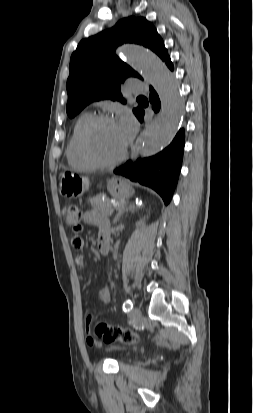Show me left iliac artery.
<instances>
[{
  "label": "left iliac artery",
  "instance_id": "obj_1",
  "mask_svg": "<svg viewBox=\"0 0 253 413\" xmlns=\"http://www.w3.org/2000/svg\"><path fill=\"white\" fill-rule=\"evenodd\" d=\"M133 308V303L130 299H127L124 303H123V311L124 312H128Z\"/></svg>",
  "mask_w": 253,
  "mask_h": 413
}]
</instances>
